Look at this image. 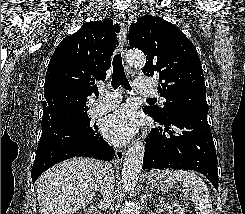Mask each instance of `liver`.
I'll list each match as a JSON object with an SVG mask.
<instances>
[{"label":"liver","mask_w":245,"mask_h":214,"mask_svg":"<svg viewBox=\"0 0 245 214\" xmlns=\"http://www.w3.org/2000/svg\"><path fill=\"white\" fill-rule=\"evenodd\" d=\"M108 164L74 158L44 172L37 181L40 214H74L94 198Z\"/></svg>","instance_id":"liver-1"}]
</instances>
